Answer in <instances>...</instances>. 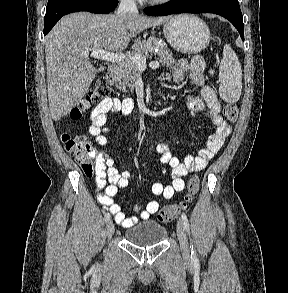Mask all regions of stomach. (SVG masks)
Instances as JSON below:
<instances>
[{
	"label": "stomach",
	"mask_w": 288,
	"mask_h": 293,
	"mask_svg": "<svg viewBox=\"0 0 288 293\" xmlns=\"http://www.w3.org/2000/svg\"><path fill=\"white\" fill-rule=\"evenodd\" d=\"M163 34L175 50L185 54L199 53L210 42V30L206 23L190 14L169 18L163 24Z\"/></svg>",
	"instance_id": "0dacf381"
}]
</instances>
